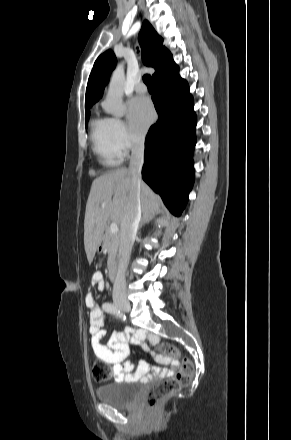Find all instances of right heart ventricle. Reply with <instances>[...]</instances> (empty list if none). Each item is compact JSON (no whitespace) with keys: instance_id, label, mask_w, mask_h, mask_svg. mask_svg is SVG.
<instances>
[{"instance_id":"right-heart-ventricle-1","label":"right heart ventricle","mask_w":291,"mask_h":440,"mask_svg":"<svg viewBox=\"0 0 291 440\" xmlns=\"http://www.w3.org/2000/svg\"><path fill=\"white\" fill-rule=\"evenodd\" d=\"M91 140L93 152L100 164L114 167L121 161L122 155L115 148L112 132L111 118L98 115L91 121Z\"/></svg>"}]
</instances>
